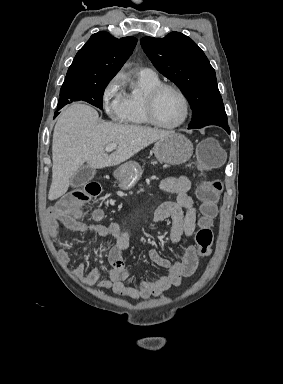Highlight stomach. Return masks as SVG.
I'll list each match as a JSON object with an SVG mask.
<instances>
[{
  "mask_svg": "<svg viewBox=\"0 0 283 384\" xmlns=\"http://www.w3.org/2000/svg\"><path fill=\"white\" fill-rule=\"evenodd\" d=\"M155 158L163 164H185L193 154V144L182 134H172L158 140L154 146ZM121 190H130L142 176V170L137 162H126L117 168L115 174Z\"/></svg>",
  "mask_w": 283,
  "mask_h": 384,
  "instance_id": "0dacf381",
  "label": "stomach"
}]
</instances>
